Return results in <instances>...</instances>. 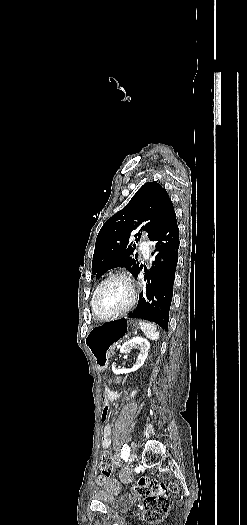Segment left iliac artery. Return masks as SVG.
<instances>
[{"instance_id":"1","label":"left iliac artery","mask_w":247,"mask_h":525,"mask_svg":"<svg viewBox=\"0 0 247 525\" xmlns=\"http://www.w3.org/2000/svg\"><path fill=\"white\" fill-rule=\"evenodd\" d=\"M130 454V447L127 444H124L121 449V458H128Z\"/></svg>"}]
</instances>
